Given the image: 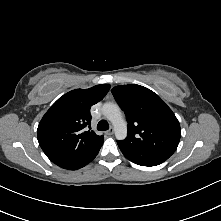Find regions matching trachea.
Masks as SVG:
<instances>
[{"label": "trachea", "instance_id": "1", "mask_svg": "<svg viewBox=\"0 0 221 221\" xmlns=\"http://www.w3.org/2000/svg\"><path fill=\"white\" fill-rule=\"evenodd\" d=\"M97 129L100 131L108 130L109 129V124L106 120H101L98 125Z\"/></svg>", "mask_w": 221, "mask_h": 221}]
</instances>
